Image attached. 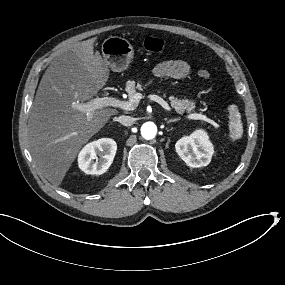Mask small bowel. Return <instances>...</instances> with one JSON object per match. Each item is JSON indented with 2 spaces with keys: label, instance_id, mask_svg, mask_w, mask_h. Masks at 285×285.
I'll return each mask as SVG.
<instances>
[{
  "label": "small bowel",
  "instance_id": "c3829d8e",
  "mask_svg": "<svg viewBox=\"0 0 285 285\" xmlns=\"http://www.w3.org/2000/svg\"><path fill=\"white\" fill-rule=\"evenodd\" d=\"M190 72L189 65L181 60H167L154 69V74L157 77H170L175 79H183Z\"/></svg>",
  "mask_w": 285,
  "mask_h": 285
}]
</instances>
